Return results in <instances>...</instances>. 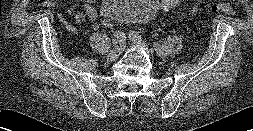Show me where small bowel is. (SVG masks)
Segmentation results:
<instances>
[{
  "mask_svg": "<svg viewBox=\"0 0 253 131\" xmlns=\"http://www.w3.org/2000/svg\"><path fill=\"white\" fill-rule=\"evenodd\" d=\"M62 1L67 2L68 0H62ZM204 1H206V0H197L196 2H194V4H192V6H191L190 14L195 15L196 12L198 11V3H202ZM83 2L85 4L84 12L76 11L72 8H69L68 14L72 17V19L76 23H82L85 20H89L90 22L93 23L92 27L94 29H97L98 26L96 23H94L98 17L97 10L94 7L95 0H83ZM66 26L69 30H74V27L69 25L68 23H66Z\"/></svg>",
  "mask_w": 253,
  "mask_h": 131,
  "instance_id": "small-bowel-1",
  "label": "small bowel"
}]
</instances>
